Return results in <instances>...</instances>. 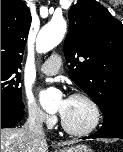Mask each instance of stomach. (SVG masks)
I'll list each match as a JSON object with an SVG mask.
<instances>
[{
	"mask_svg": "<svg viewBox=\"0 0 123 152\" xmlns=\"http://www.w3.org/2000/svg\"><path fill=\"white\" fill-rule=\"evenodd\" d=\"M61 152H93L86 145H76L63 149Z\"/></svg>",
	"mask_w": 123,
	"mask_h": 152,
	"instance_id": "1",
	"label": "stomach"
}]
</instances>
